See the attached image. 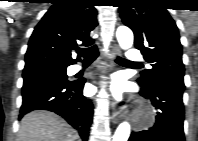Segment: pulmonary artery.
Instances as JSON below:
<instances>
[{
    "label": "pulmonary artery",
    "instance_id": "1",
    "mask_svg": "<svg viewBox=\"0 0 198 141\" xmlns=\"http://www.w3.org/2000/svg\"><path fill=\"white\" fill-rule=\"evenodd\" d=\"M128 58H129L130 62L133 64H138L139 62L142 61V57H141L140 53L133 49L129 51ZM79 71H81V67L79 65H74L70 69L71 74L78 73Z\"/></svg>",
    "mask_w": 198,
    "mask_h": 141
}]
</instances>
